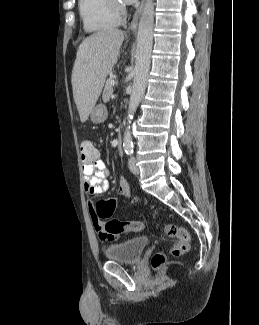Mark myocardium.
I'll list each match as a JSON object with an SVG mask.
<instances>
[{"label": "myocardium", "mask_w": 259, "mask_h": 325, "mask_svg": "<svg viewBox=\"0 0 259 325\" xmlns=\"http://www.w3.org/2000/svg\"><path fill=\"white\" fill-rule=\"evenodd\" d=\"M115 11L120 15L124 12L123 7L119 3V0H111Z\"/></svg>", "instance_id": "1"}]
</instances>
